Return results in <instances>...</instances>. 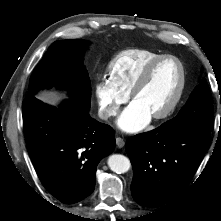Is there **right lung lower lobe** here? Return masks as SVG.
Wrapping results in <instances>:
<instances>
[{
	"label": "right lung lower lobe",
	"instance_id": "98d812e1",
	"mask_svg": "<svg viewBox=\"0 0 221 221\" xmlns=\"http://www.w3.org/2000/svg\"><path fill=\"white\" fill-rule=\"evenodd\" d=\"M71 98L58 107L28 96L22 105L26 143L44 187L66 204L89 196L99 161L115 148L114 130Z\"/></svg>",
	"mask_w": 221,
	"mask_h": 221
}]
</instances>
